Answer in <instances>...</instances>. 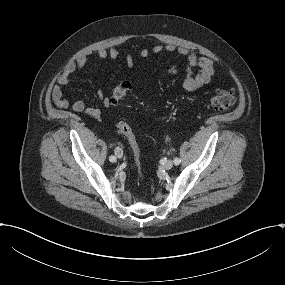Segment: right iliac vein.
I'll return each instance as SVG.
<instances>
[{"mask_svg": "<svg viewBox=\"0 0 285 285\" xmlns=\"http://www.w3.org/2000/svg\"><path fill=\"white\" fill-rule=\"evenodd\" d=\"M115 154L118 158H122L123 157V151L120 148H116L115 149Z\"/></svg>", "mask_w": 285, "mask_h": 285, "instance_id": "63e3f726", "label": "right iliac vein"}]
</instances>
